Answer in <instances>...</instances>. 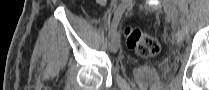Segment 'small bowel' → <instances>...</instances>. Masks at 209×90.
Instances as JSON below:
<instances>
[{"label": "small bowel", "mask_w": 209, "mask_h": 90, "mask_svg": "<svg viewBox=\"0 0 209 90\" xmlns=\"http://www.w3.org/2000/svg\"><path fill=\"white\" fill-rule=\"evenodd\" d=\"M98 3L101 4V5H106L107 4V1H105V0H99Z\"/></svg>", "instance_id": "1"}]
</instances>
